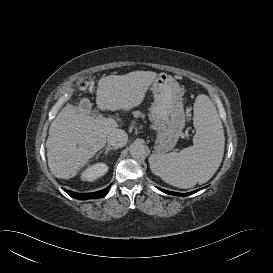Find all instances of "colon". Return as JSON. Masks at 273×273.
Wrapping results in <instances>:
<instances>
[{"label": "colon", "mask_w": 273, "mask_h": 273, "mask_svg": "<svg viewBox=\"0 0 273 273\" xmlns=\"http://www.w3.org/2000/svg\"><path fill=\"white\" fill-rule=\"evenodd\" d=\"M92 78L91 77H83L79 79L76 83V86L79 90L84 91L91 86Z\"/></svg>", "instance_id": "5ec220e1"}]
</instances>
